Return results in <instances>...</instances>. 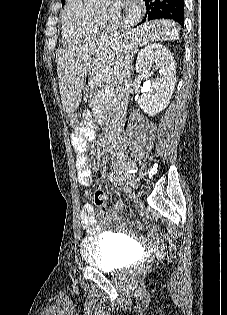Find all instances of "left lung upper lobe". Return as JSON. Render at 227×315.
<instances>
[{
    "label": "left lung upper lobe",
    "mask_w": 227,
    "mask_h": 315,
    "mask_svg": "<svg viewBox=\"0 0 227 315\" xmlns=\"http://www.w3.org/2000/svg\"><path fill=\"white\" fill-rule=\"evenodd\" d=\"M62 4H64V0H62Z\"/></svg>",
    "instance_id": "5c2ea615"
}]
</instances>
